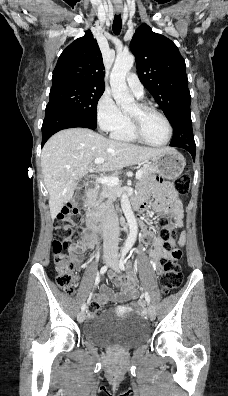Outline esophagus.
<instances>
[{
  "label": "esophagus",
  "instance_id": "esophagus-1",
  "mask_svg": "<svg viewBox=\"0 0 228 396\" xmlns=\"http://www.w3.org/2000/svg\"><path fill=\"white\" fill-rule=\"evenodd\" d=\"M115 11H116L117 13H120V12L122 11V8H121V7H116V8H115Z\"/></svg>",
  "mask_w": 228,
  "mask_h": 396
}]
</instances>
